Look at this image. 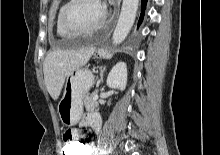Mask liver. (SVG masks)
<instances>
[{
    "instance_id": "obj_1",
    "label": "liver",
    "mask_w": 220,
    "mask_h": 155,
    "mask_svg": "<svg viewBox=\"0 0 220 155\" xmlns=\"http://www.w3.org/2000/svg\"><path fill=\"white\" fill-rule=\"evenodd\" d=\"M95 48L76 50H54L49 52L43 64L44 80L47 91L53 100L60 96L65 79L75 70L84 66Z\"/></svg>"
}]
</instances>
